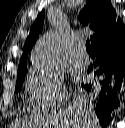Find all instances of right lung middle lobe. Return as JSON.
<instances>
[{
	"label": "right lung middle lobe",
	"instance_id": "obj_1",
	"mask_svg": "<svg viewBox=\"0 0 125 128\" xmlns=\"http://www.w3.org/2000/svg\"><path fill=\"white\" fill-rule=\"evenodd\" d=\"M25 72H26V69L17 73V82H16V88H15L16 93H18L22 88L24 78H25Z\"/></svg>",
	"mask_w": 125,
	"mask_h": 128
}]
</instances>
